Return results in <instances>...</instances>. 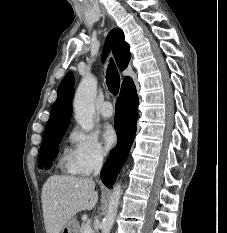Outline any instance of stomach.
<instances>
[{"label":"stomach","instance_id":"0dacf381","mask_svg":"<svg viewBox=\"0 0 227 233\" xmlns=\"http://www.w3.org/2000/svg\"><path fill=\"white\" fill-rule=\"evenodd\" d=\"M79 224L75 218H71L65 226L62 228L60 233H78Z\"/></svg>","mask_w":227,"mask_h":233}]
</instances>
